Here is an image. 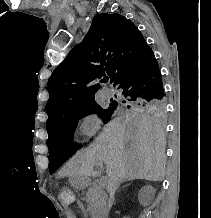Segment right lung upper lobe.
<instances>
[{"label": "right lung upper lobe", "mask_w": 211, "mask_h": 218, "mask_svg": "<svg viewBox=\"0 0 211 218\" xmlns=\"http://www.w3.org/2000/svg\"><path fill=\"white\" fill-rule=\"evenodd\" d=\"M149 50L140 31L124 16L96 15L83 41L69 52L49 78L47 131L64 115L95 100L94 94L100 87L91 85L92 81L106 72L114 82Z\"/></svg>", "instance_id": "cb5924a9"}]
</instances>
